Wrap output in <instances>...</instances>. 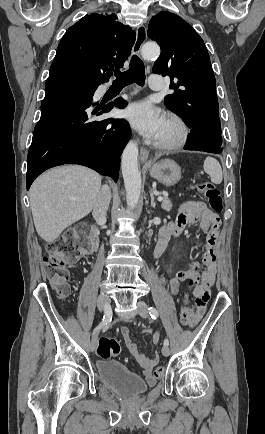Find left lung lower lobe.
Here are the masks:
<instances>
[{
	"instance_id": "1",
	"label": "left lung lower lobe",
	"mask_w": 265,
	"mask_h": 434,
	"mask_svg": "<svg viewBox=\"0 0 265 434\" xmlns=\"http://www.w3.org/2000/svg\"><path fill=\"white\" fill-rule=\"evenodd\" d=\"M184 149L218 154L223 151L222 137L206 136L194 130L188 135Z\"/></svg>"
}]
</instances>
